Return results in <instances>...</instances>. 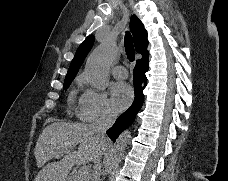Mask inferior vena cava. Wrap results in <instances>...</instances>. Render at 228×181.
<instances>
[{
    "instance_id": "602c4592",
    "label": "inferior vena cava",
    "mask_w": 228,
    "mask_h": 181,
    "mask_svg": "<svg viewBox=\"0 0 228 181\" xmlns=\"http://www.w3.org/2000/svg\"><path fill=\"white\" fill-rule=\"evenodd\" d=\"M117 119L116 113H113V111H109V109H106V111H102L101 115H99V119L95 121L92 125V129L94 133H97L101 139H105L106 137V131L114 125L115 121ZM103 155V153H102ZM101 157L100 155H97L94 159V167H93V173H92V181H101L100 175H101Z\"/></svg>"
}]
</instances>
